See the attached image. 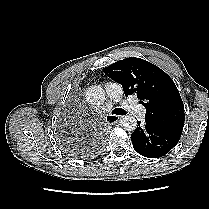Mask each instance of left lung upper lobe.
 <instances>
[{"mask_svg": "<svg viewBox=\"0 0 209 209\" xmlns=\"http://www.w3.org/2000/svg\"><path fill=\"white\" fill-rule=\"evenodd\" d=\"M121 84L125 96L137 94L146 108L145 117L164 126H184V105L172 79L154 64L135 57L120 60L103 69Z\"/></svg>", "mask_w": 209, "mask_h": 209, "instance_id": "5c2ea615", "label": "left lung upper lobe"}]
</instances>
